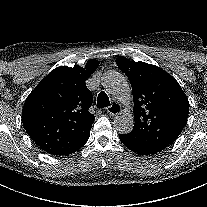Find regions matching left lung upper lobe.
I'll return each instance as SVG.
<instances>
[{"label": "left lung upper lobe", "mask_w": 207, "mask_h": 207, "mask_svg": "<svg viewBox=\"0 0 207 207\" xmlns=\"http://www.w3.org/2000/svg\"><path fill=\"white\" fill-rule=\"evenodd\" d=\"M126 74L134 100L131 144L161 152L175 141L186 124L189 101L179 83L167 72L145 62L116 59Z\"/></svg>", "instance_id": "left-lung-upper-lobe-1"}]
</instances>
